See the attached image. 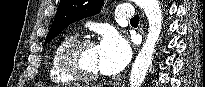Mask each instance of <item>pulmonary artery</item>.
Instances as JSON below:
<instances>
[{"mask_svg": "<svg viewBox=\"0 0 205 87\" xmlns=\"http://www.w3.org/2000/svg\"><path fill=\"white\" fill-rule=\"evenodd\" d=\"M115 14L119 19H132L134 16L133 6L131 4L120 5Z\"/></svg>", "mask_w": 205, "mask_h": 87, "instance_id": "obj_1", "label": "pulmonary artery"}]
</instances>
